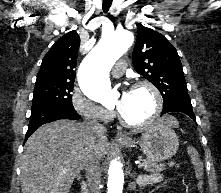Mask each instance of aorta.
Wrapping results in <instances>:
<instances>
[{
  "label": "aorta",
  "instance_id": "aorta-1",
  "mask_svg": "<svg viewBox=\"0 0 221 193\" xmlns=\"http://www.w3.org/2000/svg\"><path fill=\"white\" fill-rule=\"evenodd\" d=\"M134 36L126 30L104 36L82 61L78 81L83 93L92 101L107 103L114 92L108 71L116 60L132 45ZM124 173L119 162L113 160L108 169L107 193H122Z\"/></svg>",
  "mask_w": 221,
  "mask_h": 193
}]
</instances>
